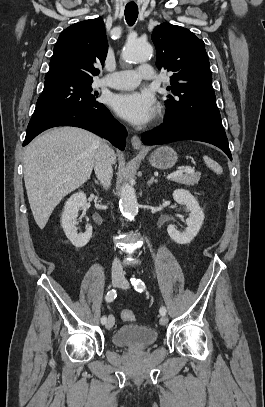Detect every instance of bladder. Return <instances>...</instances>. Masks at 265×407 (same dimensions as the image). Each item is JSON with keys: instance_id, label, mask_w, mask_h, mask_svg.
<instances>
[{"instance_id": "obj_1", "label": "bladder", "mask_w": 265, "mask_h": 407, "mask_svg": "<svg viewBox=\"0 0 265 407\" xmlns=\"http://www.w3.org/2000/svg\"><path fill=\"white\" fill-rule=\"evenodd\" d=\"M158 338L157 331L149 326L127 324L113 335V343L132 349H142L152 345Z\"/></svg>"}]
</instances>
